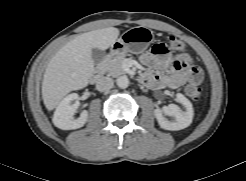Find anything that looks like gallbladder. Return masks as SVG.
<instances>
[{"label":"gallbladder","instance_id":"bac80fb5","mask_svg":"<svg viewBox=\"0 0 246 181\" xmlns=\"http://www.w3.org/2000/svg\"><path fill=\"white\" fill-rule=\"evenodd\" d=\"M91 57L94 64H99L105 57V51L98 48H93L91 50Z\"/></svg>","mask_w":246,"mask_h":181}]
</instances>
